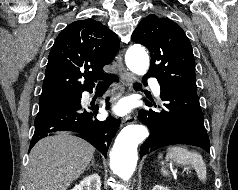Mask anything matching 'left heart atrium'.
<instances>
[{"label":"left heart atrium","mask_w":238,"mask_h":190,"mask_svg":"<svg viewBox=\"0 0 238 190\" xmlns=\"http://www.w3.org/2000/svg\"><path fill=\"white\" fill-rule=\"evenodd\" d=\"M113 110L115 114L123 116L131 110V102L128 99L123 98L116 103Z\"/></svg>","instance_id":"39dd6f15"}]
</instances>
